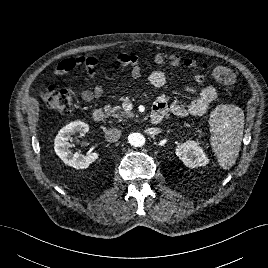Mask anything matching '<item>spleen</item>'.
<instances>
[{
	"label": "spleen",
	"mask_w": 268,
	"mask_h": 268,
	"mask_svg": "<svg viewBox=\"0 0 268 268\" xmlns=\"http://www.w3.org/2000/svg\"><path fill=\"white\" fill-rule=\"evenodd\" d=\"M211 146L223 169L231 168L240 151L244 131L243 110L235 105H219L210 115Z\"/></svg>",
	"instance_id": "1"
}]
</instances>
